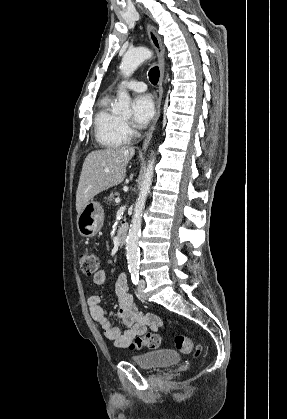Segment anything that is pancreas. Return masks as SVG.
<instances>
[{"label":"pancreas","mask_w":287,"mask_h":419,"mask_svg":"<svg viewBox=\"0 0 287 419\" xmlns=\"http://www.w3.org/2000/svg\"><path fill=\"white\" fill-rule=\"evenodd\" d=\"M119 194L117 193V192H115V193H111V194H109V196L106 198V201L107 202H109V203H111L113 200H114V196H118Z\"/></svg>","instance_id":"pancreas-1"}]
</instances>
